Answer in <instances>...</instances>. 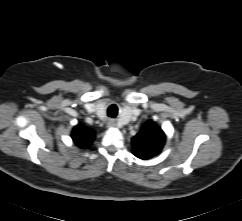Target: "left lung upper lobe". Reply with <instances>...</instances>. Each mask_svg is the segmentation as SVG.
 <instances>
[{"mask_svg":"<svg viewBox=\"0 0 242 221\" xmlns=\"http://www.w3.org/2000/svg\"><path fill=\"white\" fill-rule=\"evenodd\" d=\"M165 139L164 132L156 123L148 121L132 138L133 154L140 159H150L161 152Z\"/></svg>","mask_w":242,"mask_h":221,"instance_id":"5c2ea615","label":"left lung upper lobe"}]
</instances>
